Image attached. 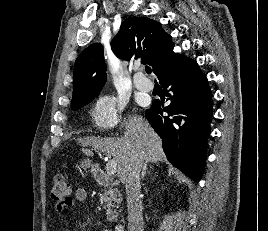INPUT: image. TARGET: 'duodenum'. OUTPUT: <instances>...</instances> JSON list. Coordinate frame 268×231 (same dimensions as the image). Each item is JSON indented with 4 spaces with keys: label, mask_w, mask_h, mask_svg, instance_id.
<instances>
[{
    "label": "duodenum",
    "mask_w": 268,
    "mask_h": 231,
    "mask_svg": "<svg viewBox=\"0 0 268 231\" xmlns=\"http://www.w3.org/2000/svg\"><path fill=\"white\" fill-rule=\"evenodd\" d=\"M94 179L105 186L111 184V180L103 169H97L94 173ZM114 231H125V226L123 224H117Z\"/></svg>",
    "instance_id": "1"
}]
</instances>
